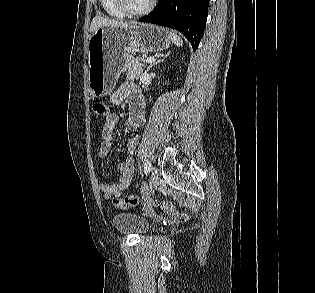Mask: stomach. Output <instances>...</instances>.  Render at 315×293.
Wrapping results in <instances>:
<instances>
[{
  "label": "stomach",
  "instance_id": "0dacf381",
  "mask_svg": "<svg viewBox=\"0 0 315 293\" xmlns=\"http://www.w3.org/2000/svg\"><path fill=\"white\" fill-rule=\"evenodd\" d=\"M170 41L166 29L151 24L134 22L97 29L88 44L90 95L98 98L110 94L131 54L162 51Z\"/></svg>",
  "mask_w": 315,
  "mask_h": 293
}]
</instances>
